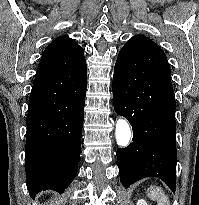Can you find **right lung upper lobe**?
I'll return each instance as SVG.
<instances>
[{"instance_id": "1", "label": "right lung upper lobe", "mask_w": 199, "mask_h": 205, "mask_svg": "<svg viewBox=\"0 0 199 205\" xmlns=\"http://www.w3.org/2000/svg\"><path fill=\"white\" fill-rule=\"evenodd\" d=\"M87 72L83 49L68 36L53 40L44 50L35 81H45L51 90H59L66 78Z\"/></svg>"}]
</instances>
